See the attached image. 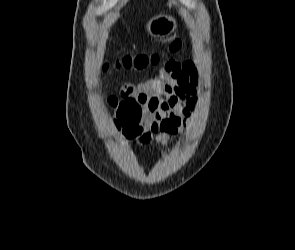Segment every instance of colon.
<instances>
[{"instance_id": "colon-1", "label": "colon", "mask_w": 295, "mask_h": 250, "mask_svg": "<svg viewBox=\"0 0 295 250\" xmlns=\"http://www.w3.org/2000/svg\"><path fill=\"white\" fill-rule=\"evenodd\" d=\"M181 46L182 41L175 39L169 46V52H176ZM163 56V53L125 55L117 58L114 64L117 68L144 69L158 63ZM106 68H108V63L103 65V69ZM109 103L115 109V124L118 129H133L140 124L143 117V109L137 100L126 98L118 101L116 98H111Z\"/></svg>"}]
</instances>
